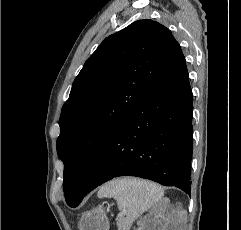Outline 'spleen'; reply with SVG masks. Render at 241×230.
Segmentation results:
<instances>
[{
	"mask_svg": "<svg viewBox=\"0 0 241 230\" xmlns=\"http://www.w3.org/2000/svg\"><path fill=\"white\" fill-rule=\"evenodd\" d=\"M163 195L164 191L158 184L128 177L106 183L98 191L99 198H114L130 223L159 202Z\"/></svg>",
	"mask_w": 241,
	"mask_h": 230,
	"instance_id": "1",
	"label": "spleen"
}]
</instances>
